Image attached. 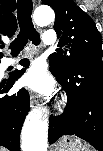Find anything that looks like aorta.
<instances>
[{"mask_svg": "<svg viewBox=\"0 0 103 151\" xmlns=\"http://www.w3.org/2000/svg\"><path fill=\"white\" fill-rule=\"evenodd\" d=\"M38 26H46L55 20V13L50 7H38L33 14ZM48 120L42 118L39 109L32 110L22 128V151H47Z\"/></svg>", "mask_w": 103, "mask_h": 151, "instance_id": "obj_1", "label": "aorta"}]
</instances>
